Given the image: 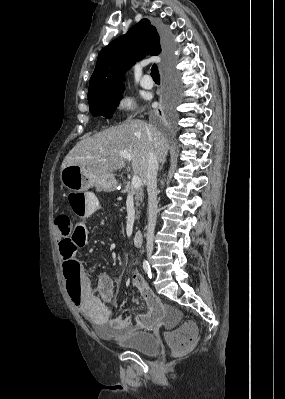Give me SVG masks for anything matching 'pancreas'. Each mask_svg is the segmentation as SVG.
Returning <instances> with one entry per match:
<instances>
[{
    "label": "pancreas",
    "instance_id": "pancreas-1",
    "mask_svg": "<svg viewBox=\"0 0 285 399\" xmlns=\"http://www.w3.org/2000/svg\"><path fill=\"white\" fill-rule=\"evenodd\" d=\"M122 192L125 194L134 196L135 205H136V209H137V217L136 218L138 219V214H140V211L138 210V208L140 206V202L143 201V197H144L143 189L141 187L133 188L132 185L130 184V182H126Z\"/></svg>",
    "mask_w": 285,
    "mask_h": 399
}]
</instances>
